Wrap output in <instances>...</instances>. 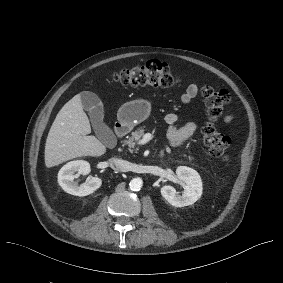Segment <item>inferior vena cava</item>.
I'll return each mask as SVG.
<instances>
[{
    "label": "inferior vena cava",
    "instance_id": "602c4592",
    "mask_svg": "<svg viewBox=\"0 0 283 283\" xmlns=\"http://www.w3.org/2000/svg\"><path fill=\"white\" fill-rule=\"evenodd\" d=\"M110 163H111V166L116 169V170H120V171H123L124 168H123V165H124V162L118 158H112L110 160Z\"/></svg>",
    "mask_w": 283,
    "mask_h": 283
}]
</instances>
